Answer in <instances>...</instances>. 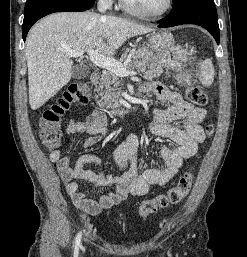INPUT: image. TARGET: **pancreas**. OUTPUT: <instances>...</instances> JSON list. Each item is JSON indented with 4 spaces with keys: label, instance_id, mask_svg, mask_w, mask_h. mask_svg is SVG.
<instances>
[{
    "label": "pancreas",
    "instance_id": "pancreas-1",
    "mask_svg": "<svg viewBox=\"0 0 247 257\" xmlns=\"http://www.w3.org/2000/svg\"><path fill=\"white\" fill-rule=\"evenodd\" d=\"M137 56L134 59H129L126 63V67L143 74V78L146 80H153L163 74L162 67L155 62L139 61ZM121 81L118 76L109 71L102 75L99 86L96 88L99 100L97 104L102 108L115 109L120 107L121 98Z\"/></svg>",
    "mask_w": 247,
    "mask_h": 257
}]
</instances>
